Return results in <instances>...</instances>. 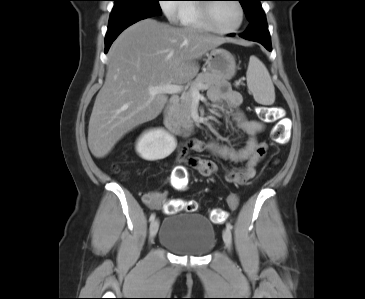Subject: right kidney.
Masks as SVG:
<instances>
[{
	"instance_id": "1",
	"label": "right kidney",
	"mask_w": 365,
	"mask_h": 299,
	"mask_svg": "<svg viewBox=\"0 0 365 299\" xmlns=\"http://www.w3.org/2000/svg\"><path fill=\"white\" fill-rule=\"evenodd\" d=\"M176 139L168 131L157 128L144 132L136 144V151L147 161L168 157L176 148Z\"/></svg>"
}]
</instances>
